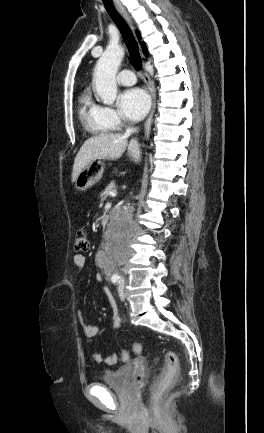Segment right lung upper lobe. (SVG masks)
I'll return each mask as SVG.
<instances>
[{"mask_svg": "<svg viewBox=\"0 0 264 433\" xmlns=\"http://www.w3.org/2000/svg\"><path fill=\"white\" fill-rule=\"evenodd\" d=\"M145 47H146V45H145V43L143 42V43H142V48H143L144 54H145V55H148V51H147V49H146Z\"/></svg>", "mask_w": 264, "mask_h": 433, "instance_id": "cb5924a9", "label": "right lung upper lobe"}]
</instances>
